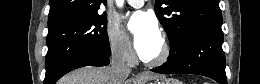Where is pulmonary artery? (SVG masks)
<instances>
[{
  "label": "pulmonary artery",
  "instance_id": "1",
  "mask_svg": "<svg viewBox=\"0 0 260 84\" xmlns=\"http://www.w3.org/2000/svg\"><path fill=\"white\" fill-rule=\"evenodd\" d=\"M132 7L138 8L141 7L144 3L142 0H129L127 1Z\"/></svg>",
  "mask_w": 260,
  "mask_h": 84
}]
</instances>
